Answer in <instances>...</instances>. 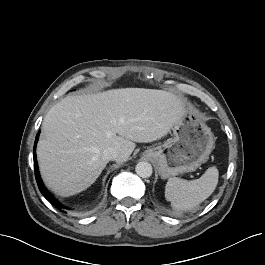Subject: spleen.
I'll return each mask as SVG.
<instances>
[{"label": "spleen", "mask_w": 265, "mask_h": 265, "mask_svg": "<svg viewBox=\"0 0 265 265\" xmlns=\"http://www.w3.org/2000/svg\"><path fill=\"white\" fill-rule=\"evenodd\" d=\"M219 172L215 166L195 180L169 178L165 186V198L176 209H192L206 200L215 190Z\"/></svg>", "instance_id": "obj_1"}]
</instances>
